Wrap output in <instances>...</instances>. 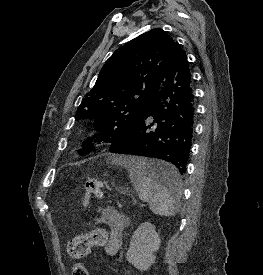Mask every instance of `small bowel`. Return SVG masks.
Returning <instances> with one entry per match:
<instances>
[{"label": "small bowel", "mask_w": 263, "mask_h": 275, "mask_svg": "<svg viewBox=\"0 0 263 275\" xmlns=\"http://www.w3.org/2000/svg\"><path fill=\"white\" fill-rule=\"evenodd\" d=\"M95 222L108 228V230L99 229L104 235L103 242L99 246H102L109 256L117 254L122 247V233L126 226V217L113 208L106 207L100 211Z\"/></svg>", "instance_id": "1"}]
</instances>
